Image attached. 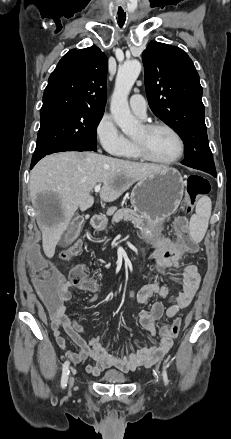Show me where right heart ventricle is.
<instances>
[{"instance_id":"obj_1","label":"right heart ventricle","mask_w":231,"mask_h":439,"mask_svg":"<svg viewBox=\"0 0 231 439\" xmlns=\"http://www.w3.org/2000/svg\"><path fill=\"white\" fill-rule=\"evenodd\" d=\"M124 156L126 158L133 159V160H137L140 158L139 155L137 154V152L135 151L133 143L129 140H128V148H127Z\"/></svg>"}]
</instances>
